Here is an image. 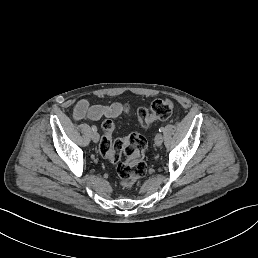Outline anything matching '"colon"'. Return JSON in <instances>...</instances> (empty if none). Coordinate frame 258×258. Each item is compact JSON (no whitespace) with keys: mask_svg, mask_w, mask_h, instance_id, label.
Listing matches in <instances>:
<instances>
[{"mask_svg":"<svg viewBox=\"0 0 258 258\" xmlns=\"http://www.w3.org/2000/svg\"><path fill=\"white\" fill-rule=\"evenodd\" d=\"M123 111L128 114L130 108L123 106ZM173 111V102L170 99L155 100L150 109L139 108L137 119L142 127L147 128L157 120L168 119ZM103 135L99 143V152L107 160L117 164V174L124 187H130L143 177L147 170L145 150L147 141L139 133H132L125 138L114 139L112 134L115 124L107 119L102 123ZM126 159L121 161L122 156Z\"/></svg>","mask_w":258,"mask_h":258,"instance_id":"obj_1","label":"colon"}]
</instances>
